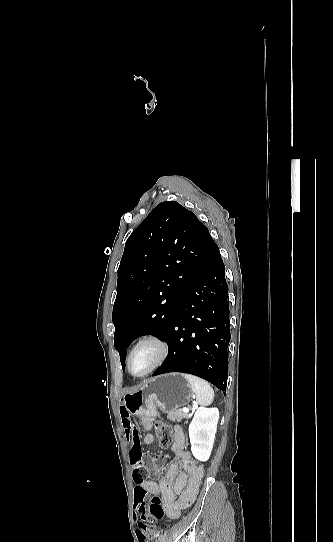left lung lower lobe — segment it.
Returning <instances> with one entry per match:
<instances>
[{
  "mask_svg": "<svg viewBox=\"0 0 333 542\" xmlns=\"http://www.w3.org/2000/svg\"><path fill=\"white\" fill-rule=\"evenodd\" d=\"M181 303L165 338L168 356L152 376L169 372L189 373L209 381L225 393L227 348L231 338L228 285L225 266L215 242Z\"/></svg>",
  "mask_w": 333,
  "mask_h": 542,
  "instance_id": "left-lung-lower-lobe-1",
  "label": "left lung lower lobe"
}]
</instances>
